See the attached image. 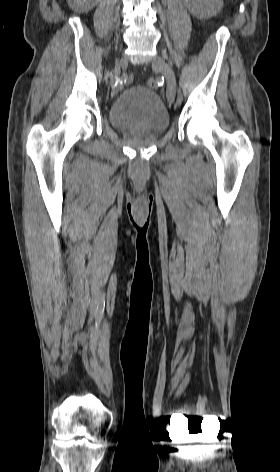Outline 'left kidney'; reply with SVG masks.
<instances>
[{
  "label": "left kidney",
  "mask_w": 280,
  "mask_h": 472,
  "mask_svg": "<svg viewBox=\"0 0 280 472\" xmlns=\"http://www.w3.org/2000/svg\"><path fill=\"white\" fill-rule=\"evenodd\" d=\"M189 12L199 19H208L217 14L222 0H184Z\"/></svg>",
  "instance_id": "1"
}]
</instances>
